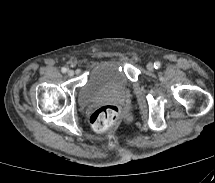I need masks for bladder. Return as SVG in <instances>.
Masks as SVG:
<instances>
[{
	"mask_svg": "<svg viewBox=\"0 0 215 183\" xmlns=\"http://www.w3.org/2000/svg\"><path fill=\"white\" fill-rule=\"evenodd\" d=\"M129 86V79L120 62L99 60L90 66L85 83L78 92V102L81 106H88L108 91L125 90Z\"/></svg>",
	"mask_w": 215,
	"mask_h": 183,
	"instance_id": "obj_1",
	"label": "bladder"
}]
</instances>
